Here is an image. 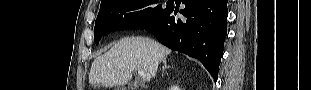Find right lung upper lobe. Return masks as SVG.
<instances>
[{"instance_id": "cb5924a9", "label": "right lung upper lobe", "mask_w": 311, "mask_h": 90, "mask_svg": "<svg viewBox=\"0 0 311 90\" xmlns=\"http://www.w3.org/2000/svg\"><path fill=\"white\" fill-rule=\"evenodd\" d=\"M105 1H107V0H102L101 3L105 2Z\"/></svg>"}]
</instances>
